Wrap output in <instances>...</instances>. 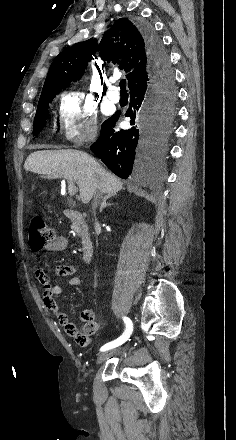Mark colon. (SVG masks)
Wrapping results in <instances>:
<instances>
[{"mask_svg":"<svg viewBox=\"0 0 236 440\" xmlns=\"http://www.w3.org/2000/svg\"><path fill=\"white\" fill-rule=\"evenodd\" d=\"M29 245L33 250L43 249L55 238V230L39 215H33L28 222Z\"/></svg>","mask_w":236,"mask_h":440,"instance_id":"5ec220e1","label":"colon"}]
</instances>
